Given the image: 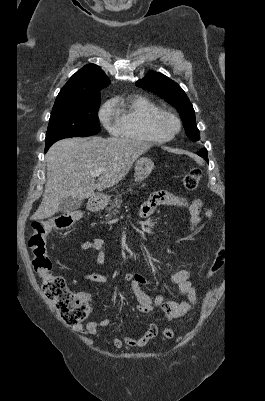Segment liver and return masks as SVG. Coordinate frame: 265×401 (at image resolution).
Here are the masks:
<instances>
[{
    "label": "liver",
    "mask_w": 265,
    "mask_h": 401,
    "mask_svg": "<svg viewBox=\"0 0 265 401\" xmlns=\"http://www.w3.org/2000/svg\"><path fill=\"white\" fill-rule=\"evenodd\" d=\"M153 144L132 138H64L50 146L46 156L47 182L40 207L32 221L48 219L60 211L66 196L89 198L97 190L120 182L140 154ZM104 168L97 178L92 172Z\"/></svg>",
    "instance_id": "1"
}]
</instances>
